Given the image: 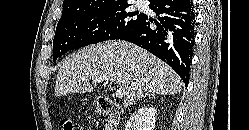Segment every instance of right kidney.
<instances>
[{
    "label": "right kidney",
    "instance_id": "ca27d5eb",
    "mask_svg": "<svg viewBox=\"0 0 249 130\" xmlns=\"http://www.w3.org/2000/svg\"><path fill=\"white\" fill-rule=\"evenodd\" d=\"M157 110L153 107H142L133 113L125 125V130H153Z\"/></svg>",
    "mask_w": 249,
    "mask_h": 130
}]
</instances>
